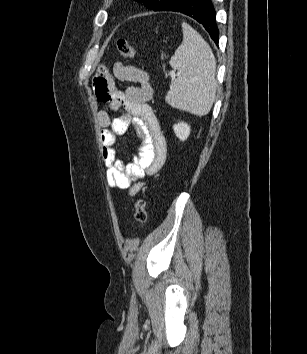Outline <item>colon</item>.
<instances>
[{"instance_id":"colon-1","label":"colon","mask_w":307,"mask_h":354,"mask_svg":"<svg viewBox=\"0 0 307 354\" xmlns=\"http://www.w3.org/2000/svg\"><path fill=\"white\" fill-rule=\"evenodd\" d=\"M117 47L123 58L133 59L135 57V48L129 41L120 39L117 42ZM134 218L139 225H143L147 221L148 211L146 201L144 199H138L134 203Z\"/></svg>"}]
</instances>
